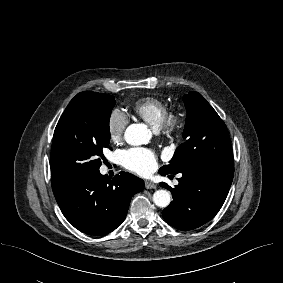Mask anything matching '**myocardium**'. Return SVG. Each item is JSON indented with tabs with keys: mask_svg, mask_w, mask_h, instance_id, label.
I'll return each instance as SVG.
<instances>
[{
	"mask_svg": "<svg viewBox=\"0 0 283 283\" xmlns=\"http://www.w3.org/2000/svg\"><path fill=\"white\" fill-rule=\"evenodd\" d=\"M185 124V115L180 109H171L166 112L159 126L164 136H173L181 132Z\"/></svg>",
	"mask_w": 283,
	"mask_h": 283,
	"instance_id": "obj_1",
	"label": "myocardium"
}]
</instances>
